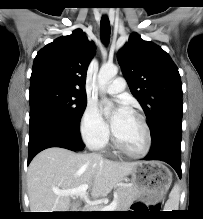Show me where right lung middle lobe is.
Masks as SVG:
<instances>
[{"mask_svg": "<svg viewBox=\"0 0 203 219\" xmlns=\"http://www.w3.org/2000/svg\"><path fill=\"white\" fill-rule=\"evenodd\" d=\"M30 116L39 115L69 128H79L86 94L54 83L30 85Z\"/></svg>", "mask_w": 203, "mask_h": 219, "instance_id": "obj_1", "label": "right lung middle lobe"}]
</instances>
